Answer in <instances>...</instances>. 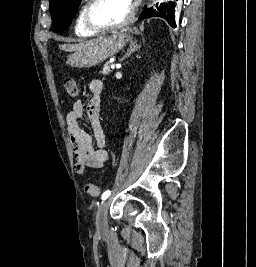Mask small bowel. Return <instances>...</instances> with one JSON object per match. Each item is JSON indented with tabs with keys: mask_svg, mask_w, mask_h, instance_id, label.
Instances as JSON below:
<instances>
[{
	"mask_svg": "<svg viewBox=\"0 0 256 267\" xmlns=\"http://www.w3.org/2000/svg\"><path fill=\"white\" fill-rule=\"evenodd\" d=\"M88 87L91 97L87 103L86 111L92 135L79 125V121L84 115L82 101H75L66 116L67 131L72 144L75 169L78 173H83L87 167L100 168L109 160V154L105 150L106 139L100 123L103 82L100 79H92Z\"/></svg>",
	"mask_w": 256,
	"mask_h": 267,
	"instance_id": "obj_1",
	"label": "small bowel"
}]
</instances>
